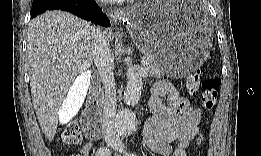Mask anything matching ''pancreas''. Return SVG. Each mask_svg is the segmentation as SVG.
<instances>
[{
  "label": "pancreas",
  "mask_w": 261,
  "mask_h": 156,
  "mask_svg": "<svg viewBox=\"0 0 261 156\" xmlns=\"http://www.w3.org/2000/svg\"><path fill=\"white\" fill-rule=\"evenodd\" d=\"M143 59H146L148 62L145 67H146L149 75L160 76L163 74V70L158 65H156L154 59L151 56L146 55ZM98 96H99V101L102 102L103 97L100 95V92H98Z\"/></svg>",
  "instance_id": "cf45deb5"
}]
</instances>
